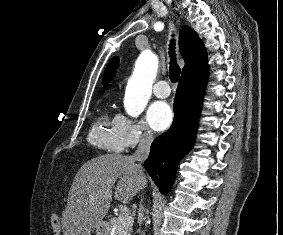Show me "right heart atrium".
Returning a JSON list of instances; mask_svg holds the SVG:
<instances>
[{
	"mask_svg": "<svg viewBox=\"0 0 283 235\" xmlns=\"http://www.w3.org/2000/svg\"><path fill=\"white\" fill-rule=\"evenodd\" d=\"M118 122L124 138L125 147H134L152 141L153 134L143 121H136L119 114Z\"/></svg>",
	"mask_w": 283,
	"mask_h": 235,
	"instance_id": "right-heart-atrium-1",
	"label": "right heart atrium"
}]
</instances>
